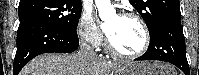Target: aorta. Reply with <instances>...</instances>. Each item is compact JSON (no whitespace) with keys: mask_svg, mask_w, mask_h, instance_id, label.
I'll return each mask as SVG.
<instances>
[{"mask_svg":"<svg viewBox=\"0 0 199 75\" xmlns=\"http://www.w3.org/2000/svg\"><path fill=\"white\" fill-rule=\"evenodd\" d=\"M95 2L99 11V16L103 21H108L116 16V11L110 0H95Z\"/></svg>","mask_w":199,"mask_h":75,"instance_id":"aorta-1","label":"aorta"}]
</instances>
